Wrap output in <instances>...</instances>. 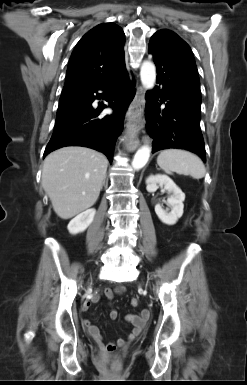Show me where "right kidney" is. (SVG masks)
<instances>
[{
    "label": "right kidney",
    "mask_w": 247,
    "mask_h": 385,
    "mask_svg": "<svg viewBox=\"0 0 247 385\" xmlns=\"http://www.w3.org/2000/svg\"><path fill=\"white\" fill-rule=\"evenodd\" d=\"M95 213V209H87L86 211L77 215L69 222L67 226L69 233L75 235L84 232L93 222Z\"/></svg>",
    "instance_id": "1"
}]
</instances>
